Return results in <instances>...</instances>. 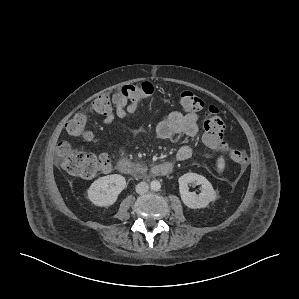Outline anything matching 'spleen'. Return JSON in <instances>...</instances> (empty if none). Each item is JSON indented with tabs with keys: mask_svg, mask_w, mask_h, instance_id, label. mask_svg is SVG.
Wrapping results in <instances>:
<instances>
[{
	"mask_svg": "<svg viewBox=\"0 0 299 299\" xmlns=\"http://www.w3.org/2000/svg\"><path fill=\"white\" fill-rule=\"evenodd\" d=\"M217 167L220 172L223 171V169L225 167V161H224L223 157L218 158Z\"/></svg>",
	"mask_w": 299,
	"mask_h": 299,
	"instance_id": "spleen-1",
	"label": "spleen"
}]
</instances>
